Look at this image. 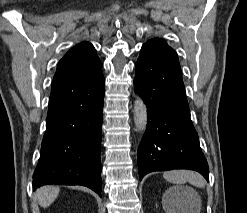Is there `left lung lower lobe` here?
<instances>
[{
  "label": "left lung lower lobe",
  "mask_w": 247,
  "mask_h": 213,
  "mask_svg": "<svg viewBox=\"0 0 247 213\" xmlns=\"http://www.w3.org/2000/svg\"><path fill=\"white\" fill-rule=\"evenodd\" d=\"M134 86L145 100L148 124L138 149L140 180L149 172L191 169L209 181L181 76L178 57L138 58Z\"/></svg>",
  "instance_id": "1"
}]
</instances>
